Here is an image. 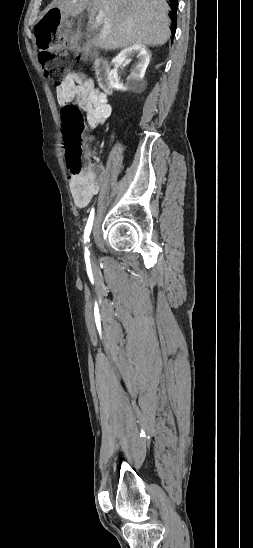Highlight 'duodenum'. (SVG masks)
Segmentation results:
<instances>
[{
  "label": "duodenum",
  "mask_w": 253,
  "mask_h": 548,
  "mask_svg": "<svg viewBox=\"0 0 253 548\" xmlns=\"http://www.w3.org/2000/svg\"><path fill=\"white\" fill-rule=\"evenodd\" d=\"M94 68L100 88L104 92L110 93L112 91V85L110 80V65L108 61L105 58H98L95 61Z\"/></svg>",
  "instance_id": "410a0bca"
}]
</instances>
